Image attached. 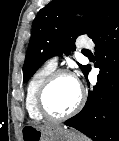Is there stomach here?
<instances>
[{"label": "stomach", "instance_id": "obj_1", "mask_svg": "<svg viewBox=\"0 0 119 141\" xmlns=\"http://www.w3.org/2000/svg\"><path fill=\"white\" fill-rule=\"evenodd\" d=\"M21 139L22 141H85L80 134L61 126L43 127L38 125L24 126Z\"/></svg>", "mask_w": 119, "mask_h": 141}]
</instances>
